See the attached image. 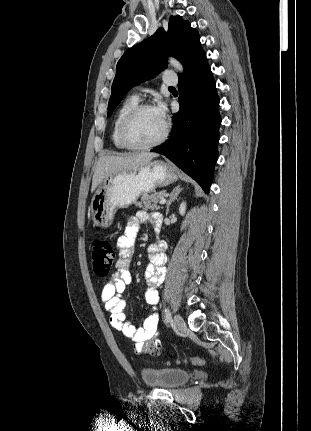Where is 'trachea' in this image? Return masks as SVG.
<instances>
[{"mask_svg":"<svg viewBox=\"0 0 311 431\" xmlns=\"http://www.w3.org/2000/svg\"><path fill=\"white\" fill-rule=\"evenodd\" d=\"M169 89H174V87H169Z\"/></svg>","mask_w":311,"mask_h":431,"instance_id":"1","label":"trachea"}]
</instances>
